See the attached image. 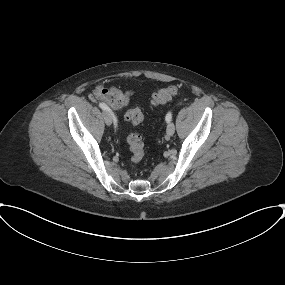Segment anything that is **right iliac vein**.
I'll return each mask as SVG.
<instances>
[{"label":"right iliac vein","mask_w":285,"mask_h":285,"mask_svg":"<svg viewBox=\"0 0 285 285\" xmlns=\"http://www.w3.org/2000/svg\"><path fill=\"white\" fill-rule=\"evenodd\" d=\"M103 118H104L106 125L110 126L112 124V114L108 110H105L103 112Z\"/></svg>","instance_id":"1"}]
</instances>
